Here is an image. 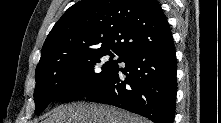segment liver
I'll return each mask as SVG.
<instances>
[{
	"mask_svg": "<svg viewBox=\"0 0 221 123\" xmlns=\"http://www.w3.org/2000/svg\"><path fill=\"white\" fill-rule=\"evenodd\" d=\"M42 123H148V120L112 106L76 102L53 109Z\"/></svg>",
	"mask_w": 221,
	"mask_h": 123,
	"instance_id": "liver-1",
	"label": "liver"
}]
</instances>
